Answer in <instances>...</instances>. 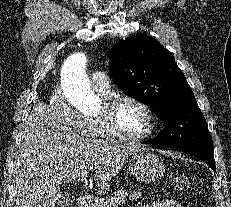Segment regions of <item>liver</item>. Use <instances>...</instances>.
Returning <instances> with one entry per match:
<instances>
[{"instance_id":"liver-1","label":"liver","mask_w":231,"mask_h":207,"mask_svg":"<svg viewBox=\"0 0 231 207\" xmlns=\"http://www.w3.org/2000/svg\"><path fill=\"white\" fill-rule=\"evenodd\" d=\"M143 148L88 139L68 127L57 110L38 103L24 126L14 166L16 207H54L62 182L93 180L107 189L128 157Z\"/></svg>"}]
</instances>
